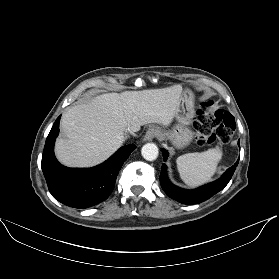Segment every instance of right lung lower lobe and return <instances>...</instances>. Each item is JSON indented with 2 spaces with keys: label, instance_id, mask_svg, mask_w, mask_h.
Returning <instances> with one entry per match:
<instances>
[{
  "label": "right lung lower lobe",
  "instance_id": "obj_1",
  "mask_svg": "<svg viewBox=\"0 0 279 279\" xmlns=\"http://www.w3.org/2000/svg\"><path fill=\"white\" fill-rule=\"evenodd\" d=\"M59 121L60 117L46 139L42 155V170L50 193L59 202L74 208H87L106 200L114 189L119 170L136 146L121 147L93 168H68L57 161L53 150Z\"/></svg>",
  "mask_w": 279,
  "mask_h": 279
}]
</instances>
